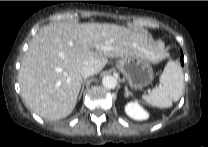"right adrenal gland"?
Wrapping results in <instances>:
<instances>
[{
	"label": "right adrenal gland",
	"mask_w": 208,
	"mask_h": 147,
	"mask_svg": "<svg viewBox=\"0 0 208 147\" xmlns=\"http://www.w3.org/2000/svg\"><path fill=\"white\" fill-rule=\"evenodd\" d=\"M85 83H86V80H84V81L82 82V88H81V91H80L79 100H80V98H81V96H82V92H83V90H84V85H85Z\"/></svg>",
	"instance_id": "2a0ac1e0"
}]
</instances>
